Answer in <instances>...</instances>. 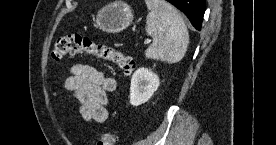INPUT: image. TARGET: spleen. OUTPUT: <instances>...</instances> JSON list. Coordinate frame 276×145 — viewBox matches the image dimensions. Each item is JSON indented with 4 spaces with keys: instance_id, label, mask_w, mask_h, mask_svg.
I'll return each instance as SVG.
<instances>
[{
    "instance_id": "spleen-1",
    "label": "spleen",
    "mask_w": 276,
    "mask_h": 145,
    "mask_svg": "<svg viewBox=\"0 0 276 145\" xmlns=\"http://www.w3.org/2000/svg\"><path fill=\"white\" fill-rule=\"evenodd\" d=\"M149 13L146 18V33L153 42L145 56L167 63H177L185 55L189 33L179 12L164 0H146Z\"/></svg>"
}]
</instances>
